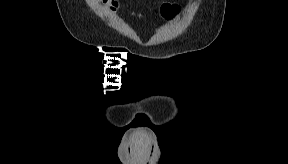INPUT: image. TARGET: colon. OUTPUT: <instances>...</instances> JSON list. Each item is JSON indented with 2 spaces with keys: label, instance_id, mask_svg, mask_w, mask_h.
Returning <instances> with one entry per match:
<instances>
[{
  "label": "colon",
  "instance_id": "5ec220e1",
  "mask_svg": "<svg viewBox=\"0 0 288 164\" xmlns=\"http://www.w3.org/2000/svg\"><path fill=\"white\" fill-rule=\"evenodd\" d=\"M165 9H166L168 15H171V14L179 12L178 8L172 7V6H167Z\"/></svg>",
  "mask_w": 288,
  "mask_h": 164
}]
</instances>
